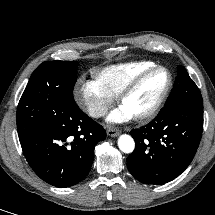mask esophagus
Here are the masks:
<instances>
[{
  "label": "esophagus",
  "instance_id": "34e87169",
  "mask_svg": "<svg viewBox=\"0 0 215 215\" xmlns=\"http://www.w3.org/2000/svg\"><path fill=\"white\" fill-rule=\"evenodd\" d=\"M121 133L120 130L115 129V128H108L107 129V135L111 137H116Z\"/></svg>",
  "mask_w": 215,
  "mask_h": 215
}]
</instances>
